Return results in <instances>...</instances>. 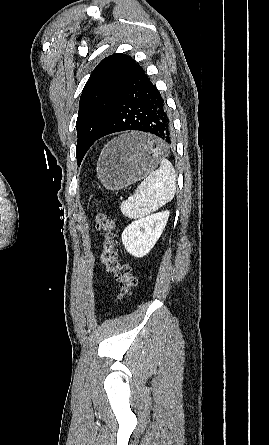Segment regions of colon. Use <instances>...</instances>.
Masks as SVG:
<instances>
[{"instance_id": "colon-1", "label": "colon", "mask_w": 269, "mask_h": 445, "mask_svg": "<svg viewBox=\"0 0 269 445\" xmlns=\"http://www.w3.org/2000/svg\"><path fill=\"white\" fill-rule=\"evenodd\" d=\"M95 222L96 228L104 233L101 261L106 270L113 275L115 281L119 284V294L116 301L120 302L132 294V290L137 284V279L132 274L131 267L119 261L113 218L106 214H97Z\"/></svg>"}]
</instances>
